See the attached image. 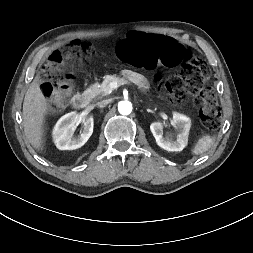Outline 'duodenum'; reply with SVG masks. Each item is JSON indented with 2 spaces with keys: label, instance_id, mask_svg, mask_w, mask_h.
Here are the masks:
<instances>
[{
  "label": "duodenum",
  "instance_id": "obj_1",
  "mask_svg": "<svg viewBox=\"0 0 253 253\" xmlns=\"http://www.w3.org/2000/svg\"><path fill=\"white\" fill-rule=\"evenodd\" d=\"M91 99V93L86 92L76 94L72 99V105L76 109H83L90 103Z\"/></svg>",
  "mask_w": 253,
  "mask_h": 253
}]
</instances>
